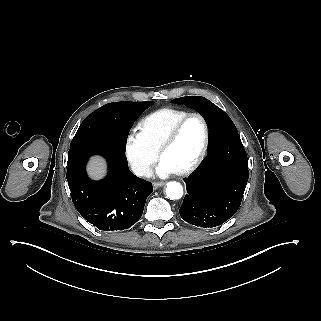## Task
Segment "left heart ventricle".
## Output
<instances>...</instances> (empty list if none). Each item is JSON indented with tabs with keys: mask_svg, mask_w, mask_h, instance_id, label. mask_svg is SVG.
<instances>
[{
	"mask_svg": "<svg viewBox=\"0 0 321 321\" xmlns=\"http://www.w3.org/2000/svg\"><path fill=\"white\" fill-rule=\"evenodd\" d=\"M203 143V125L192 118L180 128L175 140L164 146L160 153L168 157L179 171L187 168L198 155Z\"/></svg>",
	"mask_w": 321,
	"mask_h": 321,
	"instance_id": "left-heart-ventricle-1",
	"label": "left heart ventricle"
}]
</instances>
